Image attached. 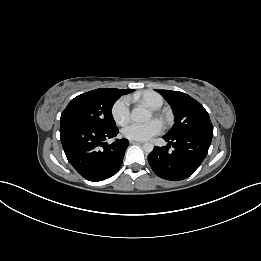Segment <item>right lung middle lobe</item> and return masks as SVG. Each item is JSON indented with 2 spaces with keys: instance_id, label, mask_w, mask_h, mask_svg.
Returning <instances> with one entry per match:
<instances>
[{
  "instance_id": "right-lung-middle-lobe-1",
  "label": "right lung middle lobe",
  "mask_w": 261,
  "mask_h": 261,
  "mask_svg": "<svg viewBox=\"0 0 261 261\" xmlns=\"http://www.w3.org/2000/svg\"><path fill=\"white\" fill-rule=\"evenodd\" d=\"M120 89H96L78 95L63 111L60 121L91 126L100 130L116 128L111 109L123 95Z\"/></svg>"
}]
</instances>
